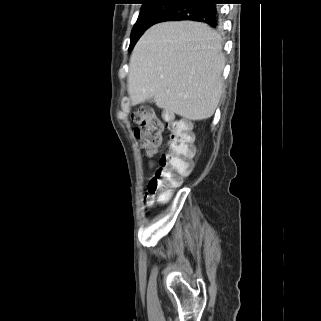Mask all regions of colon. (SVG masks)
<instances>
[{"mask_svg": "<svg viewBox=\"0 0 321 321\" xmlns=\"http://www.w3.org/2000/svg\"><path fill=\"white\" fill-rule=\"evenodd\" d=\"M132 119L138 125L134 131L137 141L146 155L153 156L163 142L164 123L145 107L136 110ZM166 124L168 136L147 187L148 207L156 201H166L171 189L178 186L193 168L195 147L188 124L172 116H168Z\"/></svg>", "mask_w": 321, "mask_h": 321, "instance_id": "5ec220e1", "label": "colon"}]
</instances>
